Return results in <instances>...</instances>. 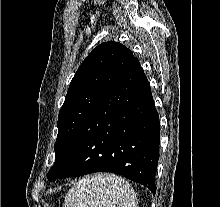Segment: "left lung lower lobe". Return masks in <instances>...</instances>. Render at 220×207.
I'll use <instances>...</instances> for the list:
<instances>
[{
	"label": "left lung lower lobe",
	"mask_w": 220,
	"mask_h": 207,
	"mask_svg": "<svg viewBox=\"0 0 220 207\" xmlns=\"http://www.w3.org/2000/svg\"><path fill=\"white\" fill-rule=\"evenodd\" d=\"M159 137L150 85L133 58L48 172L49 180L112 172L155 194Z\"/></svg>",
	"instance_id": "0a47b994"
}]
</instances>
